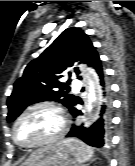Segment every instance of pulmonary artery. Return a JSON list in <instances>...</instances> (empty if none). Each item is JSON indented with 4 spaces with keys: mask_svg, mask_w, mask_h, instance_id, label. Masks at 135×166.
<instances>
[{
    "mask_svg": "<svg viewBox=\"0 0 135 166\" xmlns=\"http://www.w3.org/2000/svg\"><path fill=\"white\" fill-rule=\"evenodd\" d=\"M72 83H73V87H74L76 90H78V89H79L80 82H79L78 80L74 79V80L72 81Z\"/></svg>",
    "mask_w": 135,
    "mask_h": 166,
    "instance_id": "1",
    "label": "pulmonary artery"
}]
</instances>
